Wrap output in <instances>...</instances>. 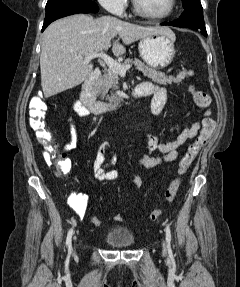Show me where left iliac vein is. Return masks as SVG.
<instances>
[{"label":"left iliac vein","instance_id":"obj_1","mask_svg":"<svg viewBox=\"0 0 240 287\" xmlns=\"http://www.w3.org/2000/svg\"><path fill=\"white\" fill-rule=\"evenodd\" d=\"M162 245H163V250L166 251V244H165L164 241H163V244H162Z\"/></svg>","mask_w":240,"mask_h":287}]
</instances>
